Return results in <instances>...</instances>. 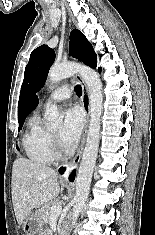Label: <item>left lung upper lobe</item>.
<instances>
[{
	"label": "left lung upper lobe",
	"mask_w": 155,
	"mask_h": 235,
	"mask_svg": "<svg viewBox=\"0 0 155 235\" xmlns=\"http://www.w3.org/2000/svg\"><path fill=\"white\" fill-rule=\"evenodd\" d=\"M69 55L78 58L86 65L95 68L97 56L92 45L77 29L70 34ZM55 60V52L47 45H41L32 51L25 68L24 80L20 91L18 107L23 109L24 103L33 92H37L44 85L48 71ZM100 69V68H99Z\"/></svg>",
	"instance_id": "5c2ea615"
}]
</instances>
